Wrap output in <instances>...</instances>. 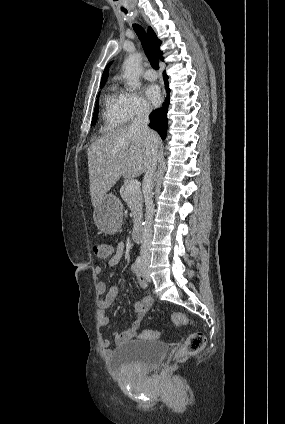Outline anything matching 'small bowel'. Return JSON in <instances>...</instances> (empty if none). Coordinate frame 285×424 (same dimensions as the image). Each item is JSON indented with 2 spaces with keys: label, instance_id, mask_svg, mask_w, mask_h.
Returning <instances> with one entry per match:
<instances>
[{
  "label": "small bowel",
  "instance_id": "c3829d8e",
  "mask_svg": "<svg viewBox=\"0 0 285 424\" xmlns=\"http://www.w3.org/2000/svg\"><path fill=\"white\" fill-rule=\"evenodd\" d=\"M124 244L123 242H119L116 245L114 253L110 256L108 260V266L114 267L120 263L123 255H124ZM95 274L100 275L102 273V268L100 266L95 267ZM131 271L133 275L136 277L144 295L141 300L135 303L134 311L136 312V318L133 321L129 330L121 333H115L114 343L116 346H119L126 342L129 339H132L137 336L140 327L142 325L143 319L145 317L146 312L153 305L152 297L147 293L148 281L145 277L144 273H142L141 269L137 264H133L131 267ZM96 291L100 296L98 301V306L100 309V320L99 325L101 328H104L109 325L110 318L106 315L105 309L111 306L118 298L121 287L119 285H112L109 289H107L106 284L103 281H99L96 285ZM102 349L106 356L111 354V342L108 339H104L102 341Z\"/></svg>",
  "mask_w": 285,
  "mask_h": 424
}]
</instances>
